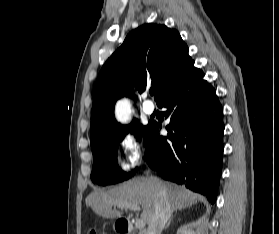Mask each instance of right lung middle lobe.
<instances>
[{"instance_id": "1", "label": "right lung middle lobe", "mask_w": 279, "mask_h": 234, "mask_svg": "<svg viewBox=\"0 0 279 234\" xmlns=\"http://www.w3.org/2000/svg\"><path fill=\"white\" fill-rule=\"evenodd\" d=\"M150 129L151 123L146 126H140L138 120L134 119L130 125L122 126L121 128L113 131L111 134L92 144V181L99 185H110L129 179L133 173L127 174L118 167L116 161L117 147L120 141H122L124 136L129 132L135 134L138 139H140L142 135L145 145Z\"/></svg>"}]
</instances>
